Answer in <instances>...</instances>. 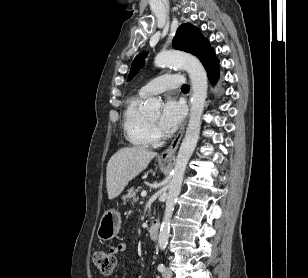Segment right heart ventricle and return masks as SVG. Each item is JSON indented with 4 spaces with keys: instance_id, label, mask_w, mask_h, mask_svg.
Here are the masks:
<instances>
[{
    "instance_id": "right-heart-ventricle-1",
    "label": "right heart ventricle",
    "mask_w": 308,
    "mask_h": 278,
    "mask_svg": "<svg viewBox=\"0 0 308 278\" xmlns=\"http://www.w3.org/2000/svg\"><path fill=\"white\" fill-rule=\"evenodd\" d=\"M144 97L134 95L127 99L123 111V129L127 140L134 146L146 148L152 144L151 126L141 112Z\"/></svg>"
}]
</instances>
